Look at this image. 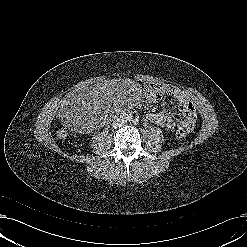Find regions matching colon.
<instances>
[{"instance_id": "colon-1", "label": "colon", "mask_w": 247, "mask_h": 247, "mask_svg": "<svg viewBox=\"0 0 247 247\" xmlns=\"http://www.w3.org/2000/svg\"><path fill=\"white\" fill-rule=\"evenodd\" d=\"M143 91L147 100H155L159 98L160 93L158 87L153 84H144ZM187 134L185 129H177L175 135L178 139H183ZM56 135L58 138L64 139L67 137L68 132L64 126H59L56 129Z\"/></svg>"}]
</instances>
